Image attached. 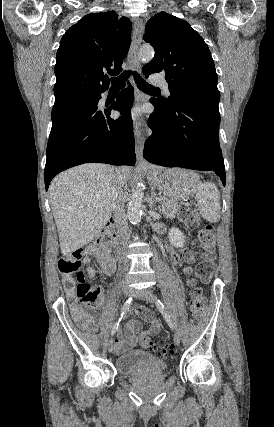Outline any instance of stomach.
<instances>
[{"label":"stomach","instance_id":"0dacf381","mask_svg":"<svg viewBox=\"0 0 274 427\" xmlns=\"http://www.w3.org/2000/svg\"><path fill=\"white\" fill-rule=\"evenodd\" d=\"M146 176L154 188L172 200L188 198L199 184L198 174L190 172V170H182V168L165 170L160 166H151L150 170H147Z\"/></svg>","mask_w":274,"mask_h":427}]
</instances>
